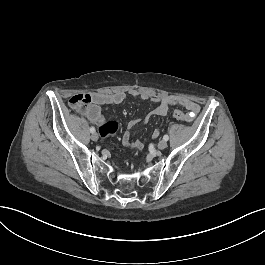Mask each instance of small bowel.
I'll use <instances>...</instances> for the list:
<instances>
[{"label": "small bowel", "instance_id": "small-bowel-1", "mask_svg": "<svg viewBox=\"0 0 265 265\" xmlns=\"http://www.w3.org/2000/svg\"><path fill=\"white\" fill-rule=\"evenodd\" d=\"M142 100H148L152 103L157 104V106L150 112V114L142 121L146 123L151 116H164L170 107L178 106L182 107L187 113L189 120L193 121L198 112L200 111V106L197 102L180 95H150L146 92L136 93ZM126 100V94L123 91L115 92H97L93 94L92 102L79 109V113L87 118L91 123L99 125L103 123L104 116L102 113V106L120 104ZM139 123V120H131L127 124V129L122 134V143L127 148L134 151H142L144 148V141L137 140L131 141V134L133 128ZM160 132L155 129L152 132V138L156 139Z\"/></svg>", "mask_w": 265, "mask_h": 265}]
</instances>
